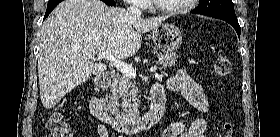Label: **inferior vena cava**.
<instances>
[{
    "instance_id": "obj_1",
    "label": "inferior vena cava",
    "mask_w": 280,
    "mask_h": 137,
    "mask_svg": "<svg viewBox=\"0 0 280 137\" xmlns=\"http://www.w3.org/2000/svg\"><path fill=\"white\" fill-rule=\"evenodd\" d=\"M127 11L135 17L141 16V10L138 8V6L136 4H133L132 6L127 8Z\"/></svg>"
}]
</instances>
